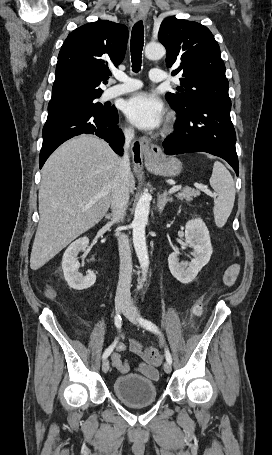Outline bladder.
Here are the masks:
<instances>
[{
	"mask_svg": "<svg viewBox=\"0 0 272 455\" xmlns=\"http://www.w3.org/2000/svg\"><path fill=\"white\" fill-rule=\"evenodd\" d=\"M113 392L122 403L131 407L153 404L158 396L156 384L135 373L117 377L113 383Z\"/></svg>",
	"mask_w": 272,
	"mask_h": 455,
	"instance_id": "31cf9c89",
	"label": "bladder"
}]
</instances>
